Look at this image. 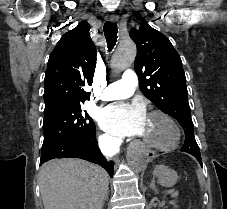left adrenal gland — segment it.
Masks as SVG:
<instances>
[{
  "label": "left adrenal gland",
  "mask_w": 227,
  "mask_h": 209,
  "mask_svg": "<svg viewBox=\"0 0 227 209\" xmlns=\"http://www.w3.org/2000/svg\"><path fill=\"white\" fill-rule=\"evenodd\" d=\"M151 189H153L155 195H158V189L156 187V183H155V177H153L152 181H151V185H150Z\"/></svg>",
  "instance_id": "a2214340"
}]
</instances>
